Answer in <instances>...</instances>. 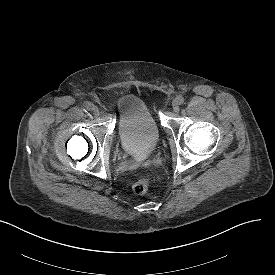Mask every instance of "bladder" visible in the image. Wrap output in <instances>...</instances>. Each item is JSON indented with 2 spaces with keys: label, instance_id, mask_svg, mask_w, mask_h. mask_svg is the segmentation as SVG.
I'll return each instance as SVG.
<instances>
[{
  "label": "bladder",
  "instance_id": "1",
  "mask_svg": "<svg viewBox=\"0 0 275 275\" xmlns=\"http://www.w3.org/2000/svg\"><path fill=\"white\" fill-rule=\"evenodd\" d=\"M118 135L124 151L135 159H145L154 151L159 129L140 97L127 94L119 99Z\"/></svg>",
  "mask_w": 275,
  "mask_h": 275
}]
</instances>
